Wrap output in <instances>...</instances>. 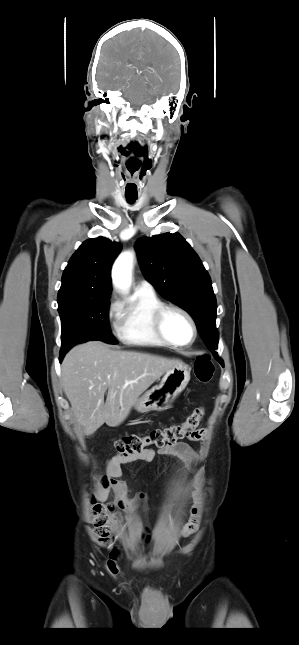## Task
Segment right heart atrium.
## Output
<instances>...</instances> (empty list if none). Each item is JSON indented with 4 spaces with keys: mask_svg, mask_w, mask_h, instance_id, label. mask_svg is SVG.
Returning <instances> with one entry per match:
<instances>
[{
    "mask_svg": "<svg viewBox=\"0 0 299 645\" xmlns=\"http://www.w3.org/2000/svg\"><path fill=\"white\" fill-rule=\"evenodd\" d=\"M120 305L115 298H111L107 306V315L108 317H113L118 314Z\"/></svg>",
    "mask_w": 299,
    "mask_h": 645,
    "instance_id": "obj_1",
    "label": "right heart atrium"
}]
</instances>
